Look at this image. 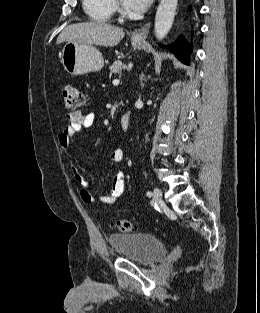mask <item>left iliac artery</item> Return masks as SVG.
Listing matches in <instances>:
<instances>
[{
    "instance_id": "obj_1",
    "label": "left iliac artery",
    "mask_w": 260,
    "mask_h": 313,
    "mask_svg": "<svg viewBox=\"0 0 260 313\" xmlns=\"http://www.w3.org/2000/svg\"><path fill=\"white\" fill-rule=\"evenodd\" d=\"M146 194H147V196H149V197L152 196V193H151L150 191H147Z\"/></svg>"
}]
</instances>
